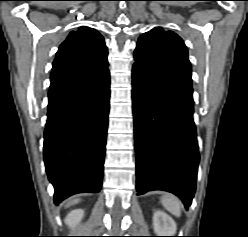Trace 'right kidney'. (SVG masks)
Returning a JSON list of instances; mask_svg holds the SVG:
<instances>
[{
    "label": "right kidney",
    "instance_id": "obj_1",
    "mask_svg": "<svg viewBox=\"0 0 248 237\" xmlns=\"http://www.w3.org/2000/svg\"><path fill=\"white\" fill-rule=\"evenodd\" d=\"M84 216L83 209H76L71 211L65 218V223L70 227L74 228L82 220Z\"/></svg>",
    "mask_w": 248,
    "mask_h": 237
}]
</instances>
